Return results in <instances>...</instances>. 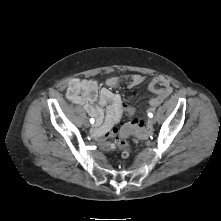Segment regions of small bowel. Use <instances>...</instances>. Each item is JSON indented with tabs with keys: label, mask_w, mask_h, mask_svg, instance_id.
<instances>
[{
	"label": "small bowel",
	"mask_w": 221,
	"mask_h": 221,
	"mask_svg": "<svg viewBox=\"0 0 221 221\" xmlns=\"http://www.w3.org/2000/svg\"><path fill=\"white\" fill-rule=\"evenodd\" d=\"M123 78L129 80L130 86H136L145 81L143 75L132 74L111 76L105 81V87L103 88H99L98 82L94 79L75 78L68 84L67 98L74 104L83 106L86 112L96 121L93 133L97 137L109 139L116 137L119 131L116 125L122 116L134 114V109L124 104L121 97L112 91L113 88L118 87ZM148 86L154 93V97L150 99L151 108H155L162 103L172 92L171 82L163 76L153 77ZM136 121L138 122V120Z\"/></svg>",
	"instance_id": "c3829d8e"
}]
</instances>
